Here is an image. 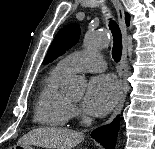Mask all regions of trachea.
I'll use <instances>...</instances> for the list:
<instances>
[{
  "label": "trachea",
  "instance_id": "trachea-1",
  "mask_svg": "<svg viewBox=\"0 0 155 149\" xmlns=\"http://www.w3.org/2000/svg\"><path fill=\"white\" fill-rule=\"evenodd\" d=\"M109 28L113 34V49H112V56L115 62H119L122 55V38H121V31L119 29L118 24L111 20L109 22Z\"/></svg>",
  "mask_w": 155,
  "mask_h": 149
}]
</instances>
